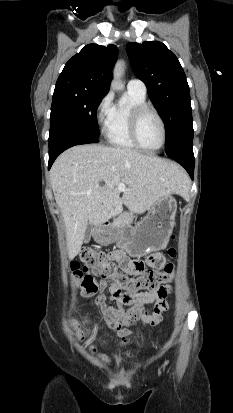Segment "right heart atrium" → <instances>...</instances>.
<instances>
[{
    "label": "right heart atrium",
    "mask_w": 233,
    "mask_h": 413,
    "mask_svg": "<svg viewBox=\"0 0 233 413\" xmlns=\"http://www.w3.org/2000/svg\"><path fill=\"white\" fill-rule=\"evenodd\" d=\"M113 109V96L111 92L106 93L97 103L95 108V117L97 122L106 126Z\"/></svg>",
    "instance_id": "right-heart-atrium-1"
}]
</instances>
